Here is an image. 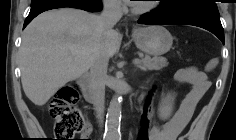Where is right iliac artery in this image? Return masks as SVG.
Wrapping results in <instances>:
<instances>
[{
	"label": "right iliac artery",
	"instance_id": "82829eb1",
	"mask_svg": "<svg viewBox=\"0 0 236 140\" xmlns=\"http://www.w3.org/2000/svg\"><path fill=\"white\" fill-rule=\"evenodd\" d=\"M103 139L110 140V138H103Z\"/></svg>",
	"mask_w": 236,
	"mask_h": 140
}]
</instances>
